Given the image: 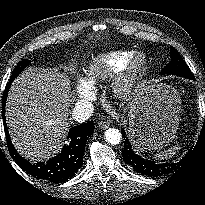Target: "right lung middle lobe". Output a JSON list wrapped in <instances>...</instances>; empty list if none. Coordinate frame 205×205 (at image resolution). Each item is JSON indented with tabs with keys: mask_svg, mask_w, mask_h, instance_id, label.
<instances>
[{
	"mask_svg": "<svg viewBox=\"0 0 205 205\" xmlns=\"http://www.w3.org/2000/svg\"><path fill=\"white\" fill-rule=\"evenodd\" d=\"M31 61L30 60H22L20 61L17 66L15 67L12 75H11V78L9 80V82H12L21 72L24 68H26L28 66V64L30 63Z\"/></svg>",
	"mask_w": 205,
	"mask_h": 205,
	"instance_id": "dd1d6c3e",
	"label": "right lung middle lobe"
}]
</instances>
